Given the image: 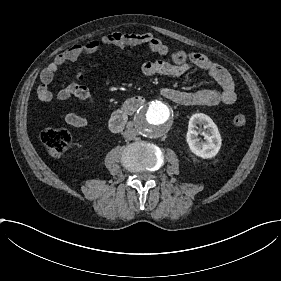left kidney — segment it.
I'll use <instances>...</instances> for the list:
<instances>
[{
	"instance_id": "left-kidney-1",
	"label": "left kidney",
	"mask_w": 281,
	"mask_h": 281,
	"mask_svg": "<svg viewBox=\"0 0 281 281\" xmlns=\"http://www.w3.org/2000/svg\"><path fill=\"white\" fill-rule=\"evenodd\" d=\"M198 124L203 125L204 129H207L204 132L205 142H201L198 138L199 132L196 130ZM186 140L190 150L202 158L214 157L221 147V136L216 124L209 116L203 113H197L191 116Z\"/></svg>"
}]
</instances>
